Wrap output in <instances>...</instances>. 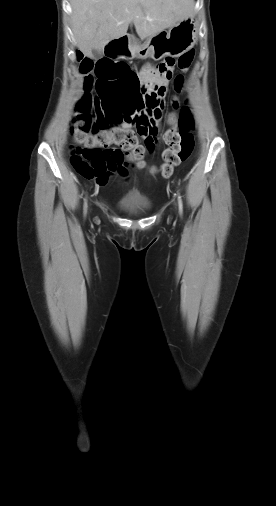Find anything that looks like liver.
Masks as SVG:
<instances>
[{
  "label": "liver",
  "instance_id": "liver-1",
  "mask_svg": "<svg viewBox=\"0 0 276 506\" xmlns=\"http://www.w3.org/2000/svg\"><path fill=\"white\" fill-rule=\"evenodd\" d=\"M72 31L78 49L93 57L113 39L126 34L133 23L148 38L191 16L193 0H70Z\"/></svg>",
  "mask_w": 276,
  "mask_h": 506
}]
</instances>
